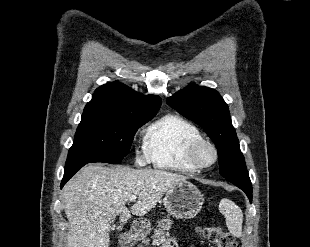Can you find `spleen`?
<instances>
[{"label": "spleen", "mask_w": 310, "mask_h": 247, "mask_svg": "<svg viewBox=\"0 0 310 247\" xmlns=\"http://www.w3.org/2000/svg\"><path fill=\"white\" fill-rule=\"evenodd\" d=\"M219 210L224 215L230 233L235 237L242 236L243 213L231 200L224 198L219 203Z\"/></svg>", "instance_id": "obj_1"}]
</instances>
